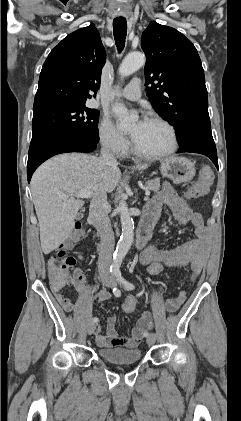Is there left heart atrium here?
<instances>
[{
	"mask_svg": "<svg viewBox=\"0 0 241 421\" xmlns=\"http://www.w3.org/2000/svg\"><path fill=\"white\" fill-rule=\"evenodd\" d=\"M144 122H145V121H140V122H139V124L141 125V124H143Z\"/></svg>",
	"mask_w": 241,
	"mask_h": 421,
	"instance_id": "obj_1",
	"label": "left heart atrium"
}]
</instances>
